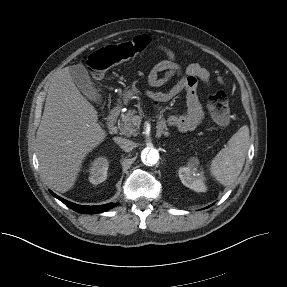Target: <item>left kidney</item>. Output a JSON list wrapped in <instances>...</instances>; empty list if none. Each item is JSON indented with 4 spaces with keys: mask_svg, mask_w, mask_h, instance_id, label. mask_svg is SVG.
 <instances>
[{
    "mask_svg": "<svg viewBox=\"0 0 287 287\" xmlns=\"http://www.w3.org/2000/svg\"><path fill=\"white\" fill-rule=\"evenodd\" d=\"M198 165V159L195 157L191 158L187 166L179 168V177L186 187L196 192H205L207 188L203 174L197 171Z\"/></svg>",
    "mask_w": 287,
    "mask_h": 287,
    "instance_id": "obj_1",
    "label": "left kidney"
}]
</instances>
